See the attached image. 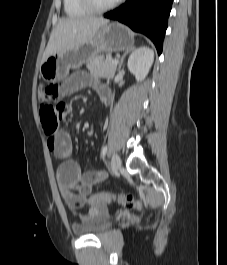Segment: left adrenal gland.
I'll return each mask as SVG.
<instances>
[{
	"label": "left adrenal gland",
	"mask_w": 227,
	"mask_h": 265,
	"mask_svg": "<svg viewBox=\"0 0 227 265\" xmlns=\"http://www.w3.org/2000/svg\"><path fill=\"white\" fill-rule=\"evenodd\" d=\"M128 53H129V51H126V52L122 55V57H121V59H120V62H119L118 71L121 70V67H122V65H123V61H124V59H125V57H126V55H127Z\"/></svg>",
	"instance_id": "left-adrenal-gland-1"
}]
</instances>
